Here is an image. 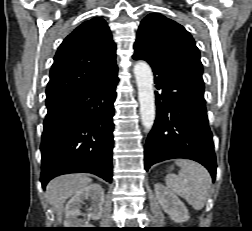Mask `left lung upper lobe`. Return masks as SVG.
Listing matches in <instances>:
<instances>
[{"label": "left lung upper lobe", "mask_w": 252, "mask_h": 231, "mask_svg": "<svg viewBox=\"0 0 252 231\" xmlns=\"http://www.w3.org/2000/svg\"><path fill=\"white\" fill-rule=\"evenodd\" d=\"M134 49L133 57L148 63L181 64L203 73L200 53L190 33L161 14L151 13L141 21Z\"/></svg>", "instance_id": "5c2ea615"}]
</instances>
